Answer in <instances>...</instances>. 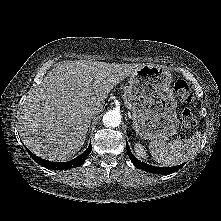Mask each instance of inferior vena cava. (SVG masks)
Instances as JSON below:
<instances>
[{
  "instance_id": "inferior-vena-cava-1",
  "label": "inferior vena cava",
  "mask_w": 221,
  "mask_h": 221,
  "mask_svg": "<svg viewBox=\"0 0 221 221\" xmlns=\"http://www.w3.org/2000/svg\"><path fill=\"white\" fill-rule=\"evenodd\" d=\"M99 113H100V110L98 108H92L88 112L90 118H92L93 116H95Z\"/></svg>"
}]
</instances>
